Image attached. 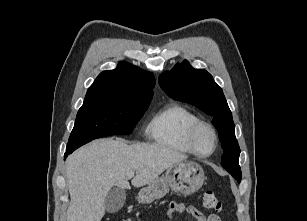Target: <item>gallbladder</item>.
I'll return each mask as SVG.
<instances>
[{
	"instance_id": "bac80fb5",
	"label": "gallbladder",
	"mask_w": 307,
	"mask_h": 221,
	"mask_svg": "<svg viewBox=\"0 0 307 221\" xmlns=\"http://www.w3.org/2000/svg\"><path fill=\"white\" fill-rule=\"evenodd\" d=\"M126 192L124 189L112 188L105 198V209L109 213L118 212L124 205Z\"/></svg>"
}]
</instances>
